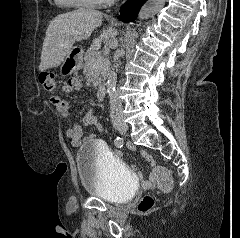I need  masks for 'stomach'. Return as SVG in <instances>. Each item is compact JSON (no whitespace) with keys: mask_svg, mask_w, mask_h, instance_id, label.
Instances as JSON below:
<instances>
[{"mask_svg":"<svg viewBox=\"0 0 240 238\" xmlns=\"http://www.w3.org/2000/svg\"><path fill=\"white\" fill-rule=\"evenodd\" d=\"M83 53L80 47H72L70 53L64 58L60 66V73L63 76L71 75L83 66Z\"/></svg>","mask_w":240,"mask_h":238,"instance_id":"1","label":"stomach"}]
</instances>
